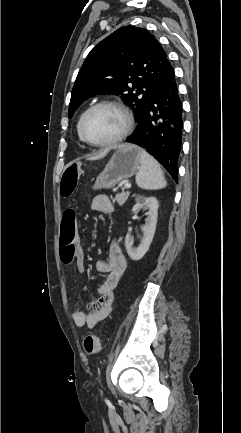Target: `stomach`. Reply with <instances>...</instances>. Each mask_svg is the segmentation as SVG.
<instances>
[{
  "mask_svg": "<svg viewBox=\"0 0 241 433\" xmlns=\"http://www.w3.org/2000/svg\"><path fill=\"white\" fill-rule=\"evenodd\" d=\"M141 149L136 145H123L111 157L98 175L93 189H109L120 181L132 177L140 167Z\"/></svg>",
  "mask_w": 241,
  "mask_h": 433,
  "instance_id": "obj_1",
  "label": "stomach"
}]
</instances>
